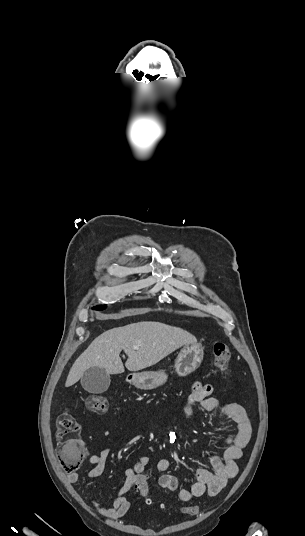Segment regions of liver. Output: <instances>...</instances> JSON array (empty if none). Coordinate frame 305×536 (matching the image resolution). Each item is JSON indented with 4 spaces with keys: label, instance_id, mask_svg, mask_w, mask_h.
Returning <instances> with one entry per match:
<instances>
[{
    "label": "liver",
    "instance_id": "6515ba94",
    "mask_svg": "<svg viewBox=\"0 0 305 536\" xmlns=\"http://www.w3.org/2000/svg\"><path fill=\"white\" fill-rule=\"evenodd\" d=\"M196 342L195 336L189 332L160 322H137L123 328H113L95 338L77 358L67 376L65 388L76 384L83 372L92 366L104 368L106 374H123L122 350L128 356L125 364L127 370L138 372L158 364L181 346ZM135 346H139V350H133Z\"/></svg>",
    "mask_w": 305,
    "mask_h": 536
}]
</instances>
